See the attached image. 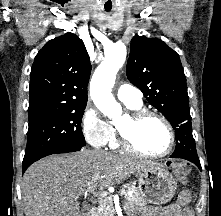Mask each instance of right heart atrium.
I'll list each match as a JSON object with an SVG mask.
<instances>
[{
    "label": "right heart atrium",
    "instance_id": "obj_1",
    "mask_svg": "<svg viewBox=\"0 0 221 216\" xmlns=\"http://www.w3.org/2000/svg\"><path fill=\"white\" fill-rule=\"evenodd\" d=\"M81 130L86 141L94 147H104L108 143L110 125L92 104H88L83 112Z\"/></svg>",
    "mask_w": 221,
    "mask_h": 216
}]
</instances>
